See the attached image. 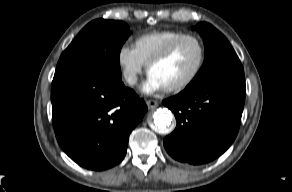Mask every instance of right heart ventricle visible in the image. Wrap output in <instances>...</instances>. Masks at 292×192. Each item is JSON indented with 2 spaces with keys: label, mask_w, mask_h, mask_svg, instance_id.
Segmentation results:
<instances>
[{
  "label": "right heart ventricle",
  "mask_w": 292,
  "mask_h": 192,
  "mask_svg": "<svg viewBox=\"0 0 292 192\" xmlns=\"http://www.w3.org/2000/svg\"><path fill=\"white\" fill-rule=\"evenodd\" d=\"M185 33L172 30H155L141 34L135 39L134 48L144 64L164 50L174 39Z\"/></svg>",
  "instance_id": "1"
}]
</instances>
